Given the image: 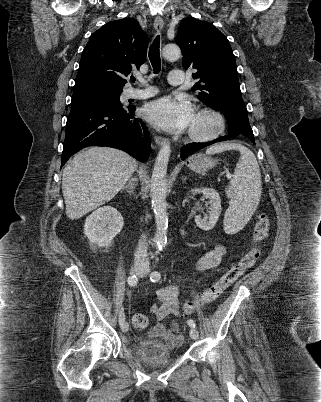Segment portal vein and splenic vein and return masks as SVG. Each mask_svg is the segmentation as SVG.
<instances>
[{
    "mask_svg": "<svg viewBox=\"0 0 321 402\" xmlns=\"http://www.w3.org/2000/svg\"><path fill=\"white\" fill-rule=\"evenodd\" d=\"M227 177H228V178H230V177H231V175H230V174H227Z\"/></svg>",
    "mask_w": 321,
    "mask_h": 402,
    "instance_id": "portal-vein-and-splenic-vein-1",
    "label": "portal vein and splenic vein"
}]
</instances>
